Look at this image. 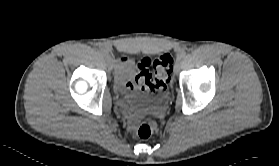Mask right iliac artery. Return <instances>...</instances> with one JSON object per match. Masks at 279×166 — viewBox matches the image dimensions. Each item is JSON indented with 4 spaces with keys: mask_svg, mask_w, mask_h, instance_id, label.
<instances>
[{
    "mask_svg": "<svg viewBox=\"0 0 279 166\" xmlns=\"http://www.w3.org/2000/svg\"><path fill=\"white\" fill-rule=\"evenodd\" d=\"M100 54L103 55V56H108V52L104 49L100 50Z\"/></svg>",
    "mask_w": 279,
    "mask_h": 166,
    "instance_id": "82829eb1",
    "label": "right iliac artery"
}]
</instances>
